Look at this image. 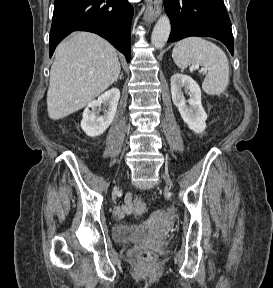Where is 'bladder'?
<instances>
[{"mask_svg": "<svg viewBox=\"0 0 273 288\" xmlns=\"http://www.w3.org/2000/svg\"><path fill=\"white\" fill-rule=\"evenodd\" d=\"M112 234L114 241L119 244L147 242L156 238L148 229L123 224L116 225Z\"/></svg>", "mask_w": 273, "mask_h": 288, "instance_id": "bladder-1", "label": "bladder"}]
</instances>
